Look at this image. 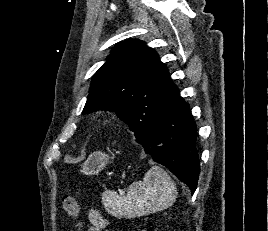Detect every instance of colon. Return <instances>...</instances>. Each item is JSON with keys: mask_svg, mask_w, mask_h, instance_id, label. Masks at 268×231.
I'll use <instances>...</instances> for the list:
<instances>
[{"mask_svg": "<svg viewBox=\"0 0 268 231\" xmlns=\"http://www.w3.org/2000/svg\"><path fill=\"white\" fill-rule=\"evenodd\" d=\"M62 206H63V210L64 212L71 217H76L78 216L79 212H80V206L78 201L76 200V198L72 197V196H64L62 198Z\"/></svg>", "mask_w": 268, "mask_h": 231, "instance_id": "colon-1", "label": "colon"}]
</instances>
